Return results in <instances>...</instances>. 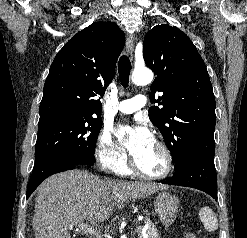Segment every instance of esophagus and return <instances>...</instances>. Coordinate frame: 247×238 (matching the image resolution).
Segmentation results:
<instances>
[{
    "label": "esophagus",
    "instance_id": "1",
    "mask_svg": "<svg viewBox=\"0 0 247 238\" xmlns=\"http://www.w3.org/2000/svg\"><path fill=\"white\" fill-rule=\"evenodd\" d=\"M134 38L133 36L129 35L126 39V49L129 55L132 57L134 53Z\"/></svg>",
    "mask_w": 247,
    "mask_h": 238
}]
</instances>
